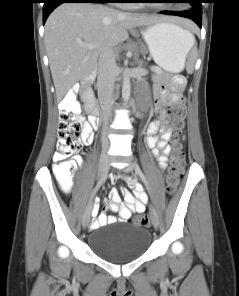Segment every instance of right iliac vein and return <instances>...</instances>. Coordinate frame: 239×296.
Listing matches in <instances>:
<instances>
[{
	"mask_svg": "<svg viewBox=\"0 0 239 296\" xmlns=\"http://www.w3.org/2000/svg\"><path fill=\"white\" fill-rule=\"evenodd\" d=\"M108 168H109L108 155L103 153L100 157L99 164H98V172L101 178L107 173ZM91 210H92V203H89L82 217L83 228H86L89 224Z\"/></svg>",
	"mask_w": 239,
	"mask_h": 296,
	"instance_id": "1",
	"label": "right iliac vein"
}]
</instances>
